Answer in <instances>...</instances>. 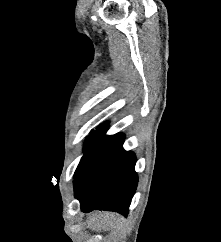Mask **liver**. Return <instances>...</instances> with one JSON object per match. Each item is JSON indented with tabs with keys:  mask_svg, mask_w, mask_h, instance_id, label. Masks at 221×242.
I'll use <instances>...</instances> for the list:
<instances>
[{
	"mask_svg": "<svg viewBox=\"0 0 221 242\" xmlns=\"http://www.w3.org/2000/svg\"><path fill=\"white\" fill-rule=\"evenodd\" d=\"M120 220L114 213L103 212L89 216L87 226L93 231H115V228H119Z\"/></svg>",
	"mask_w": 221,
	"mask_h": 242,
	"instance_id": "obj_1",
	"label": "liver"
}]
</instances>
